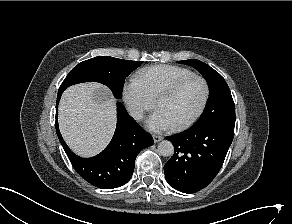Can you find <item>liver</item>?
I'll return each instance as SVG.
<instances>
[{"instance_id":"6515ba94","label":"liver","mask_w":292,"mask_h":224,"mask_svg":"<svg viewBox=\"0 0 292 224\" xmlns=\"http://www.w3.org/2000/svg\"><path fill=\"white\" fill-rule=\"evenodd\" d=\"M58 120L67 145L80 156H93L107 145L114 132L115 100L101 84L73 85L62 95Z\"/></svg>"}]
</instances>
